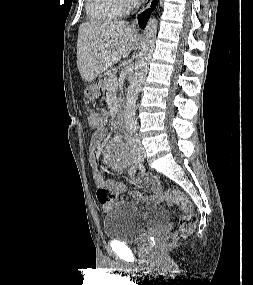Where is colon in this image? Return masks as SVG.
<instances>
[{
  "mask_svg": "<svg viewBox=\"0 0 253 285\" xmlns=\"http://www.w3.org/2000/svg\"><path fill=\"white\" fill-rule=\"evenodd\" d=\"M88 120L93 128L102 124V120L97 113H90ZM97 197L101 203L106 204L115 199L116 193L110 188L102 187L98 190ZM164 197L167 204L177 205L181 211L178 230L170 234L165 240V246L172 247L179 237L187 236L192 232L196 225V215L193 212L191 201L180 190L169 189L165 192Z\"/></svg>",
  "mask_w": 253,
  "mask_h": 285,
  "instance_id": "5ec220e1",
  "label": "colon"
}]
</instances>
